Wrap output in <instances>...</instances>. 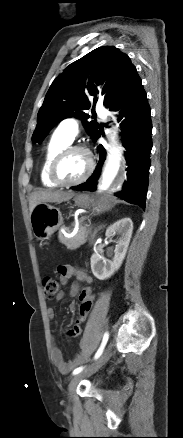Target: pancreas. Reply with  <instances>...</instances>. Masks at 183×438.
I'll return each instance as SVG.
<instances>
[{
    "instance_id": "cf45deb5",
    "label": "pancreas",
    "mask_w": 183,
    "mask_h": 438,
    "mask_svg": "<svg viewBox=\"0 0 183 438\" xmlns=\"http://www.w3.org/2000/svg\"><path fill=\"white\" fill-rule=\"evenodd\" d=\"M85 218L81 219V224L79 227L78 232L76 233V235L72 238H67L65 237L62 233H59V241L64 244L67 249L69 250H75L77 248H79L81 245H83L86 242V238L89 234V230L87 229L86 225H83L82 222ZM66 230L68 232H70L71 230L69 228H66Z\"/></svg>"
}]
</instances>
